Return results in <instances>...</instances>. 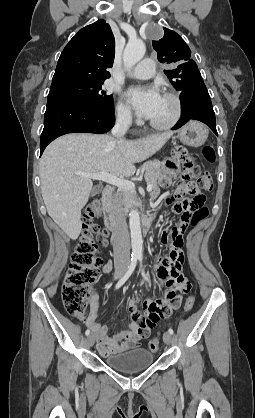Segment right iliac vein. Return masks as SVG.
Segmentation results:
<instances>
[{
	"mask_svg": "<svg viewBox=\"0 0 255 418\" xmlns=\"http://www.w3.org/2000/svg\"><path fill=\"white\" fill-rule=\"evenodd\" d=\"M124 273H125V267H118L115 270L114 278L115 279H119V278H121L124 275ZM87 343H88V345L90 347L94 345V343H95V337H94L93 334H90L88 336Z\"/></svg>",
	"mask_w": 255,
	"mask_h": 418,
	"instance_id": "obj_1",
	"label": "right iliac vein"
}]
</instances>
